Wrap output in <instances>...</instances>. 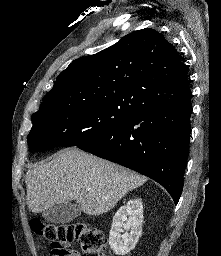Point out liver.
<instances>
[{"label":"liver","instance_id":"1","mask_svg":"<svg viewBox=\"0 0 221 256\" xmlns=\"http://www.w3.org/2000/svg\"><path fill=\"white\" fill-rule=\"evenodd\" d=\"M27 206L33 213L75 200L87 215L110 211L129 191L147 178L121 165L67 148L26 173Z\"/></svg>","mask_w":221,"mask_h":256}]
</instances>
